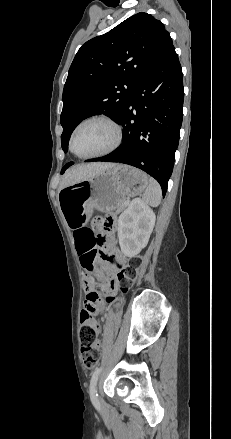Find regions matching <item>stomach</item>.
<instances>
[{
	"mask_svg": "<svg viewBox=\"0 0 231 439\" xmlns=\"http://www.w3.org/2000/svg\"><path fill=\"white\" fill-rule=\"evenodd\" d=\"M148 176L131 166L116 164L86 180L63 188L59 194L61 210L70 228L85 225L94 209L121 210L128 197L141 194Z\"/></svg>",
	"mask_w": 231,
	"mask_h": 439,
	"instance_id": "stomach-1",
	"label": "stomach"
}]
</instances>
